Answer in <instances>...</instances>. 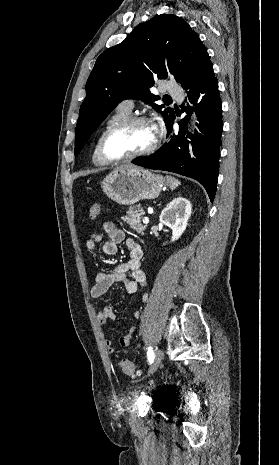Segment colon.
Returning a JSON list of instances; mask_svg holds the SVG:
<instances>
[{
	"label": "colon",
	"mask_w": 279,
	"mask_h": 465,
	"mask_svg": "<svg viewBox=\"0 0 279 465\" xmlns=\"http://www.w3.org/2000/svg\"><path fill=\"white\" fill-rule=\"evenodd\" d=\"M90 217L92 219L98 218L102 213V207L99 203H92L89 208ZM121 370L124 374L135 377L139 375V372L136 370L135 365L130 360H123L120 363Z\"/></svg>",
	"instance_id": "1"
}]
</instances>
